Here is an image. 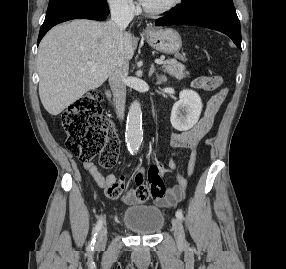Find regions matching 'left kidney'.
Returning a JSON list of instances; mask_svg holds the SVG:
<instances>
[{
  "label": "left kidney",
  "mask_w": 286,
  "mask_h": 269,
  "mask_svg": "<svg viewBox=\"0 0 286 269\" xmlns=\"http://www.w3.org/2000/svg\"><path fill=\"white\" fill-rule=\"evenodd\" d=\"M200 96L192 90H183L171 111L170 121L178 131L191 129L199 120L202 111Z\"/></svg>",
  "instance_id": "obj_1"
}]
</instances>
